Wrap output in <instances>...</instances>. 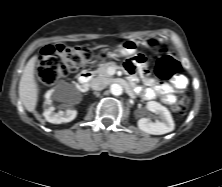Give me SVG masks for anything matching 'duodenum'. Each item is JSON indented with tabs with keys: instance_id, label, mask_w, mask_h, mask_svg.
<instances>
[{
	"instance_id": "410a0bca",
	"label": "duodenum",
	"mask_w": 222,
	"mask_h": 187,
	"mask_svg": "<svg viewBox=\"0 0 222 187\" xmlns=\"http://www.w3.org/2000/svg\"><path fill=\"white\" fill-rule=\"evenodd\" d=\"M92 78V72L91 71H83L79 77L78 80L80 82V84L85 87L88 82L90 81V79Z\"/></svg>"
}]
</instances>
